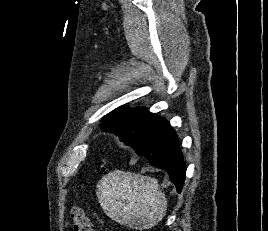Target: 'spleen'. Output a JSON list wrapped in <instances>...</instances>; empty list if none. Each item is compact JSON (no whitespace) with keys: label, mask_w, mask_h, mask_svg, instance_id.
<instances>
[{"label":"spleen","mask_w":268,"mask_h":231,"mask_svg":"<svg viewBox=\"0 0 268 231\" xmlns=\"http://www.w3.org/2000/svg\"><path fill=\"white\" fill-rule=\"evenodd\" d=\"M96 194L106 215L125 226L151 228L166 214L167 199L155 178L116 170L99 181Z\"/></svg>","instance_id":"3e777b00"}]
</instances>
